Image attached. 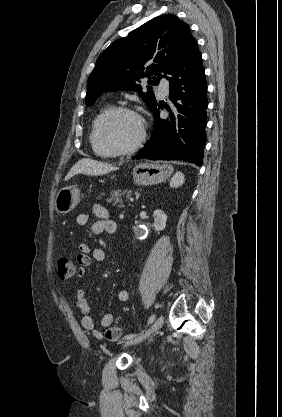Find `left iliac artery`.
Returning <instances> with one entry per match:
<instances>
[{
  "label": "left iliac artery",
  "instance_id": "obj_1",
  "mask_svg": "<svg viewBox=\"0 0 282 417\" xmlns=\"http://www.w3.org/2000/svg\"><path fill=\"white\" fill-rule=\"evenodd\" d=\"M154 319H155V316H154V315H152V316L148 319V324L153 323ZM135 336H136V334H128V335L124 336V339L129 340V339H131V338H133V337H135Z\"/></svg>",
  "mask_w": 282,
  "mask_h": 417
}]
</instances>
